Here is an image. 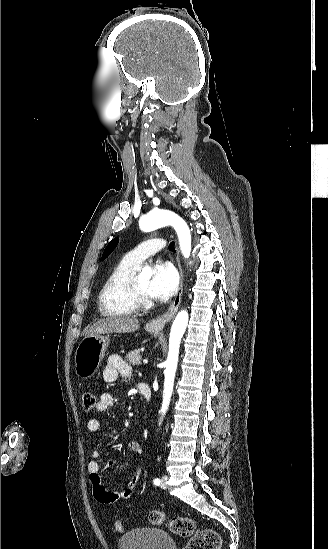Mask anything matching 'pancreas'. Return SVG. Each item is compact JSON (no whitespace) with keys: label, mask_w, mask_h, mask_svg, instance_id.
Instances as JSON below:
<instances>
[{"label":"pancreas","mask_w":328,"mask_h":549,"mask_svg":"<svg viewBox=\"0 0 328 549\" xmlns=\"http://www.w3.org/2000/svg\"><path fill=\"white\" fill-rule=\"evenodd\" d=\"M125 359L126 361H128V363H131V365H141V351H131V353H128V355H126Z\"/></svg>","instance_id":"cf45deb5"}]
</instances>
